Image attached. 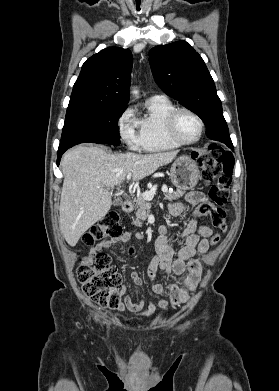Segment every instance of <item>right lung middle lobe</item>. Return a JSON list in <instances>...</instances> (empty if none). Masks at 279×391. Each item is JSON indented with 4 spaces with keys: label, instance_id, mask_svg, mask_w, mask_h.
I'll return each mask as SVG.
<instances>
[{
    "label": "right lung middle lobe",
    "instance_id": "obj_1",
    "mask_svg": "<svg viewBox=\"0 0 279 391\" xmlns=\"http://www.w3.org/2000/svg\"><path fill=\"white\" fill-rule=\"evenodd\" d=\"M126 107L94 106L68 110L59 148L96 143L104 138L119 140L117 126Z\"/></svg>",
    "mask_w": 279,
    "mask_h": 391
}]
</instances>
